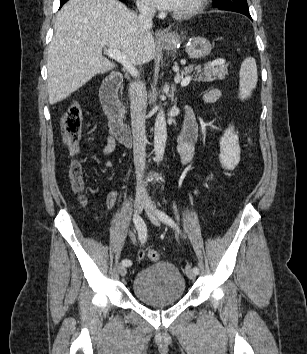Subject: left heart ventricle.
Instances as JSON below:
<instances>
[{"label":"left heart ventricle","mask_w":307,"mask_h":354,"mask_svg":"<svg viewBox=\"0 0 307 354\" xmlns=\"http://www.w3.org/2000/svg\"><path fill=\"white\" fill-rule=\"evenodd\" d=\"M193 1L194 0H179L178 5L174 11L179 12L188 8Z\"/></svg>","instance_id":"left-heart-ventricle-1"}]
</instances>
